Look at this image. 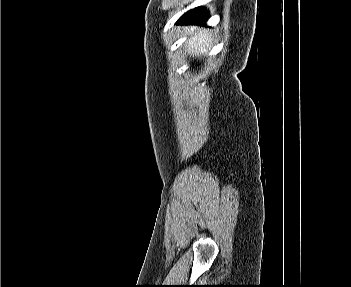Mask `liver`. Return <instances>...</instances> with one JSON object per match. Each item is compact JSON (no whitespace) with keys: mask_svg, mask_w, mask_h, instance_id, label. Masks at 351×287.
Segmentation results:
<instances>
[{"mask_svg":"<svg viewBox=\"0 0 351 287\" xmlns=\"http://www.w3.org/2000/svg\"><path fill=\"white\" fill-rule=\"evenodd\" d=\"M186 34L190 38L186 42V48L189 53L198 57L204 55L211 47V36L207 30H198L196 26H190L186 29Z\"/></svg>","mask_w":351,"mask_h":287,"instance_id":"6515ba94","label":"liver"}]
</instances>
